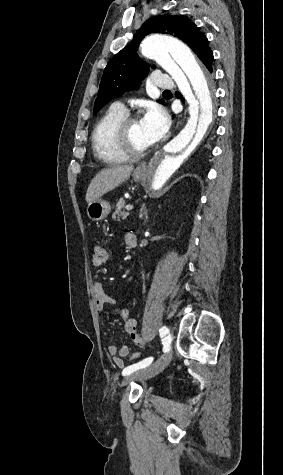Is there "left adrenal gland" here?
<instances>
[{"instance_id": "obj_1", "label": "left adrenal gland", "mask_w": 283, "mask_h": 475, "mask_svg": "<svg viewBox=\"0 0 283 475\" xmlns=\"http://www.w3.org/2000/svg\"><path fill=\"white\" fill-rule=\"evenodd\" d=\"M140 214H144V222H147L148 210H146L145 204H143V206H141V208H140Z\"/></svg>"}]
</instances>
